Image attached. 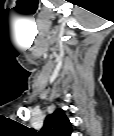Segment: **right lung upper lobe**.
<instances>
[{
  "instance_id": "cb5924a9",
  "label": "right lung upper lobe",
  "mask_w": 114,
  "mask_h": 136,
  "mask_svg": "<svg viewBox=\"0 0 114 136\" xmlns=\"http://www.w3.org/2000/svg\"><path fill=\"white\" fill-rule=\"evenodd\" d=\"M72 127L62 109H56L48 115L41 129V136H71Z\"/></svg>"
}]
</instances>
